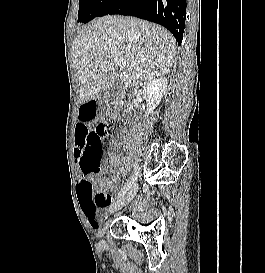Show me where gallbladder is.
I'll return each mask as SVG.
<instances>
[{"label":"gallbladder","mask_w":265,"mask_h":273,"mask_svg":"<svg viewBox=\"0 0 265 273\" xmlns=\"http://www.w3.org/2000/svg\"><path fill=\"white\" fill-rule=\"evenodd\" d=\"M119 82L115 81L112 86L109 88V98H114L117 94H118V90H119Z\"/></svg>","instance_id":"bac80fb5"}]
</instances>
